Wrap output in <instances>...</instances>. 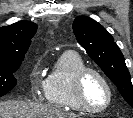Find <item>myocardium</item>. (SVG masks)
Listing matches in <instances>:
<instances>
[{"label":"myocardium","instance_id":"1","mask_svg":"<svg viewBox=\"0 0 133 118\" xmlns=\"http://www.w3.org/2000/svg\"><path fill=\"white\" fill-rule=\"evenodd\" d=\"M89 74L97 75L103 81V83L105 84L107 88V92H108L107 102L104 106L100 108L91 107L87 103L86 98H85L84 84H85V79ZM74 93H75V98L78 104L80 105V107L83 110L89 113H92V114H98V113H102L106 111L111 106L113 102V98H114V91H113L111 82L109 81L107 76L102 71L94 67H85L77 74L76 79H75V85H74Z\"/></svg>","mask_w":133,"mask_h":118}]
</instances>
